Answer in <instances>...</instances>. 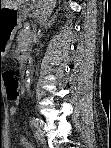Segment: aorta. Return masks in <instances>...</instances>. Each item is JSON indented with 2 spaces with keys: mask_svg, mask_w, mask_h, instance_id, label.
Masks as SVG:
<instances>
[{
  "mask_svg": "<svg viewBox=\"0 0 111 148\" xmlns=\"http://www.w3.org/2000/svg\"><path fill=\"white\" fill-rule=\"evenodd\" d=\"M55 0H42L37 9V20L40 25H44L48 18L50 17ZM28 82H30V72L27 73Z\"/></svg>",
  "mask_w": 111,
  "mask_h": 148,
  "instance_id": "obj_1",
  "label": "aorta"
}]
</instances>
